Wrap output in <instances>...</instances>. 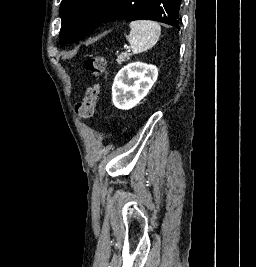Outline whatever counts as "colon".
<instances>
[{"label":"colon","instance_id":"5ec220e1","mask_svg":"<svg viewBox=\"0 0 256 267\" xmlns=\"http://www.w3.org/2000/svg\"><path fill=\"white\" fill-rule=\"evenodd\" d=\"M84 67L90 74H101L106 69V61L100 56L89 57L85 60ZM99 96L100 86L93 84L88 89L86 95L74 105L75 114L82 120L92 118Z\"/></svg>","mask_w":256,"mask_h":267}]
</instances>
